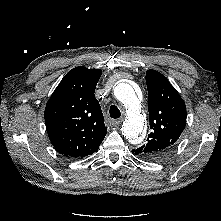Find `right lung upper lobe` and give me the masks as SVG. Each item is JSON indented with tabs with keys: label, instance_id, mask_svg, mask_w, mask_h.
I'll return each instance as SVG.
<instances>
[{
	"label": "right lung upper lobe",
	"instance_id": "1",
	"mask_svg": "<svg viewBox=\"0 0 221 221\" xmlns=\"http://www.w3.org/2000/svg\"><path fill=\"white\" fill-rule=\"evenodd\" d=\"M101 70H70L47 102L45 125L54 148L66 157H84L99 149L107 128L94 92Z\"/></svg>",
	"mask_w": 221,
	"mask_h": 221
}]
</instances>
